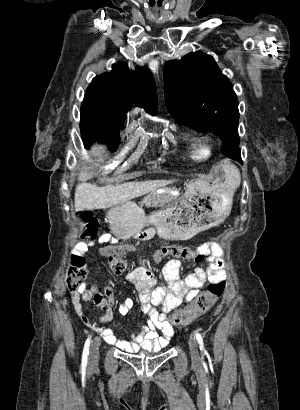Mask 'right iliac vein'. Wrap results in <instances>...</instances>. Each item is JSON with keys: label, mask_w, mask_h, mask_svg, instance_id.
<instances>
[{"label": "right iliac vein", "mask_w": 300, "mask_h": 410, "mask_svg": "<svg viewBox=\"0 0 300 410\" xmlns=\"http://www.w3.org/2000/svg\"><path fill=\"white\" fill-rule=\"evenodd\" d=\"M100 344H101V340L99 337H96L91 344L90 355H89V363L91 365L96 364V362L98 361Z\"/></svg>", "instance_id": "1"}]
</instances>
